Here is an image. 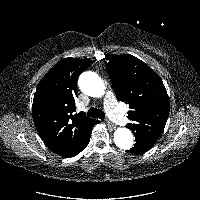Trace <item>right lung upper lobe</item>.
I'll list each match as a JSON object with an SVG mask.
<instances>
[{"instance_id": "right-lung-upper-lobe-1", "label": "right lung upper lobe", "mask_w": 200, "mask_h": 200, "mask_svg": "<svg viewBox=\"0 0 200 200\" xmlns=\"http://www.w3.org/2000/svg\"><path fill=\"white\" fill-rule=\"evenodd\" d=\"M91 63L71 57L61 60L40 81L34 95V124L47 147L63 157H72L98 122L84 112L75 113L78 76Z\"/></svg>"}]
</instances>
